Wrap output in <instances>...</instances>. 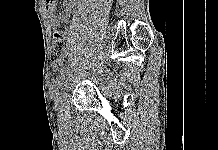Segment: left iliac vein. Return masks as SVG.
<instances>
[{
    "label": "left iliac vein",
    "instance_id": "4c4485c4",
    "mask_svg": "<svg viewBox=\"0 0 218 150\" xmlns=\"http://www.w3.org/2000/svg\"><path fill=\"white\" fill-rule=\"evenodd\" d=\"M72 78L70 76H64V82H63V85H62V89L64 88L63 86L66 84H69V81L71 80ZM67 89V88H66ZM62 91V90H61ZM63 101H64V94L61 92L60 94H57L56 97H55V107L59 110L62 108V104H63Z\"/></svg>",
    "mask_w": 218,
    "mask_h": 150
}]
</instances>
